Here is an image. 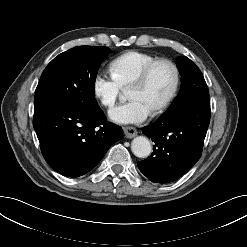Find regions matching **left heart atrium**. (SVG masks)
<instances>
[{
  "label": "left heart atrium",
  "mask_w": 247,
  "mask_h": 247,
  "mask_svg": "<svg viewBox=\"0 0 247 247\" xmlns=\"http://www.w3.org/2000/svg\"><path fill=\"white\" fill-rule=\"evenodd\" d=\"M151 109L137 99H130L109 111L110 118L121 124H136L144 121Z\"/></svg>",
  "instance_id": "39dd6f15"
}]
</instances>
